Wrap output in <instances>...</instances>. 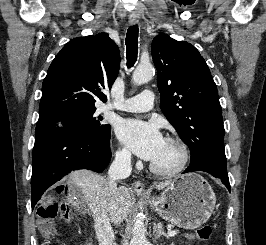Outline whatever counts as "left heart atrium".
<instances>
[{
    "label": "left heart atrium",
    "instance_id": "left-heart-atrium-1",
    "mask_svg": "<svg viewBox=\"0 0 266 245\" xmlns=\"http://www.w3.org/2000/svg\"><path fill=\"white\" fill-rule=\"evenodd\" d=\"M118 139L141 159L153 162L165 138L160 126L154 122L121 119L115 126Z\"/></svg>",
    "mask_w": 266,
    "mask_h": 245
}]
</instances>
